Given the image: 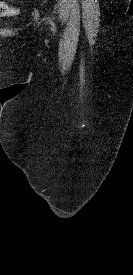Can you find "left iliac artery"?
Masks as SVG:
<instances>
[{"label":"left iliac artery","instance_id":"left-iliac-artery-1","mask_svg":"<svg viewBox=\"0 0 133 275\" xmlns=\"http://www.w3.org/2000/svg\"><path fill=\"white\" fill-rule=\"evenodd\" d=\"M49 22H50V24L54 27V23H53L51 20H49Z\"/></svg>","mask_w":133,"mask_h":275}]
</instances>
